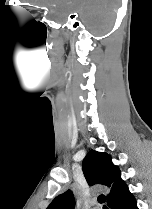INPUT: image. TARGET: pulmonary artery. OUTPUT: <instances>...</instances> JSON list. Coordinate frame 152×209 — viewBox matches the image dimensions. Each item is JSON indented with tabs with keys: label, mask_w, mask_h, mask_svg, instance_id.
Masks as SVG:
<instances>
[{
	"label": "pulmonary artery",
	"mask_w": 152,
	"mask_h": 209,
	"mask_svg": "<svg viewBox=\"0 0 152 209\" xmlns=\"http://www.w3.org/2000/svg\"><path fill=\"white\" fill-rule=\"evenodd\" d=\"M92 209H98V207H94V208H92Z\"/></svg>",
	"instance_id": "obj_1"
}]
</instances>
